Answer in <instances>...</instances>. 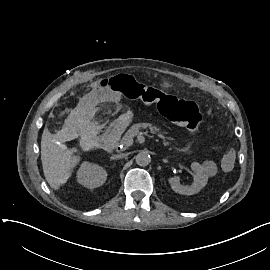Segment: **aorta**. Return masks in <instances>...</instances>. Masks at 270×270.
Here are the masks:
<instances>
[{
	"label": "aorta",
	"instance_id": "obj_1",
	"mask_svg": "<svg viewBox=\"0 0 270 270\" xmlns=\"http://www.w3.org/2000/svg\"><path fill=\"white\" fill-rule=\"evenodd\" d=\"M136 163L140 166H147L151 162V157L147 151H141L136 155Z\"/></svg>",
	"mask_w": 270,
	"mask_h": 270
}]
</instances>
